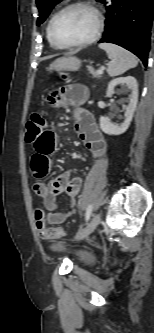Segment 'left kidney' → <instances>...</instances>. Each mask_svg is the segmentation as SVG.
I'll return each mask as SVG.
<instances>
[{
    "mask_svg": "<svg viewBox=\"0 0 154 333\" xmlns=\"http://www.w3.org/2000/svg\"><path fill=\"white\" fill-rule=\"evenodd\" d=\"M126 84L131 92L129 99L127 100L128 105L125 107L124 121L122 123H113L110 118L101 116L99 119L100 129L108 135H120L126 132L130 123L132 121L134 111L138 102V84L134 77H119L113 79L107 88V96L112 97L114 94V89L118 85Z\"/></svg>",
    "mask_w": 154,
    "mask_h": 333,
    "instance_id": "left-kidney-1",
    "label": "left kidney"
}]
</instances>
